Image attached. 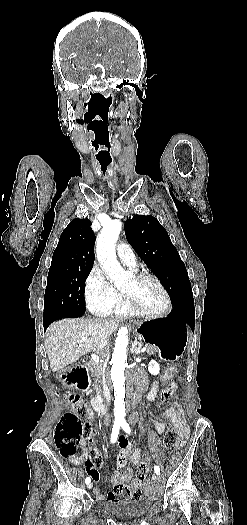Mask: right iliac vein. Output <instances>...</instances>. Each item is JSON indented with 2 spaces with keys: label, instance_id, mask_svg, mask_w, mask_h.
<instances>
[{
  "label": "right iliac vein",
  "instance_id": "1",
  "mask_svg": "<svg viewBox=\"0 0 247 525\" xmlns=\"http://www.w3.org/2000/svg\"><path fill=\"white\" fill-rule=\"evenodd\" d=\"M92 486H93V484H92V483H89V484H88V489H91Z\"/></svg>",
  "mask_w": 247,
  "mask_h": 525
}]
</instances>
